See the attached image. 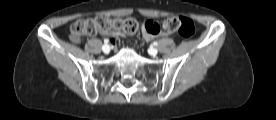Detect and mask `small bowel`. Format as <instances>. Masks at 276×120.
Returning a JSON list of instances; mask_svg holds the SVG:
<instances>
[{
	"label": "small bowel",
	"instance_id": "small-bowel-1",
	"mask_svg": "<svg viewBox=\"0 0 276 120\" xmlns=\"http://www.w3.org/2000/svg\"><path fill=\"white\" fill-rule=\"evenodd\" d=\"M160 35H165V34L160 32L158 35H152V34L147 33L144 29H143V32H142V36L145 40H151V39H153L157 36H160Z\"/></svg>",
	"mask_w": 276,
	"mask_h": 120
}]
</instances>
